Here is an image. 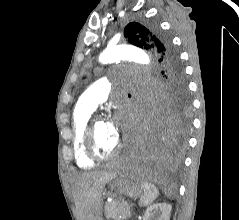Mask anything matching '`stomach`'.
Here are the masks:
<instances>
[{
	"instance_id": "obj_1",
	"label": "stomach",
	"mask_w": 239,
	"mask_h": 220,
	"mask_svg": "<svg viewBox=\"0 0 239 220\" xmlns=\"http://www.w3.org/2000/svg\"><path fill=\"white\" fill-rule=\"evenodd\" d=\"M110 187L114 192H122L130 197H138L143 191L134 178H120V183H111Z\"/></svg>"
}]
</instances>
